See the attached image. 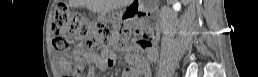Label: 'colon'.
I'll return each mask as SVG.
<instances>
[{
	"mask_svg": "<svg viewBox=\"0 0 258 77\" xmlns=\"http://www.w3.org/2000/svg\"><path fill=\"white\" fill-rule=\"evenodd\" d=\"M52 33L58 47L69 52L75 48L96 49L110 44L123 46L131 37V30L126 24L100 23L92 26L79 14L62 5L56 7L54 11ZM135 36L136 47L142 50L149 47L151 37L149 31L142 30Z\"/></svg>",
	"mask_w": 258,
	"mask_h": 77,
	"instance_id": "5ec220e1",
	"label": "colon"
}]
</instances>
